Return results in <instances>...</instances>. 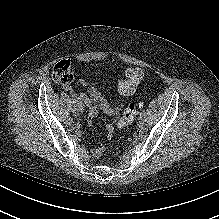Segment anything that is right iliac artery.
<instances>
[{"label":"right iliac artery","mask_w":219,"mask_h":219,"mask_svg":"<svg viewBox=\"0 0 219 219\" xmlns=\"http://www.w3.org/2000/svg\"><path fill=\"white\" fill-rule=\"evenodd\" d=\"M72 103L73 104H77V100L76 99H72Z\"/></svg>","instance_id":"1"}]
</instances>
